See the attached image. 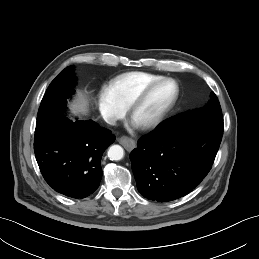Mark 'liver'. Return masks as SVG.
<instances>
[{"mask_svg":"<svg viewBox=\"0 0 259 259\" xmlns=\"http://www.w3.org/2000/svg\"><path fill=\"white\" fill-rule=\"evenodd\" d=\"M87 106H88L87 99L83 94L79 93L77 102L72 104L71 109L74 114H77V113L85 114L87 112Z\"/></svg>","mask_w":259,"mask_h":259,"instance_id":"6515ba94","label":"liver"}]
</instances>
